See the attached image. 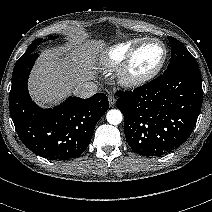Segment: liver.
Wrapping results in <instances>:
<instances>
[{
  "instance_id": "1",
  "label": "liver",
  "mask_w": 212,
  "mask_h": 212,
  "mask_svg": "<svg viewBox=\"0 0 212 212\" xmlns=\"http://www.w3.org/2000/svg\"><path fill=\"white\" fill-rule=\"evenodd\" d=\"M101 47L98 41H77L67 48L45 51L30 76L32 98L41 106H52L93 79L95 55Z\"/></svg>"
}]
</instances>
